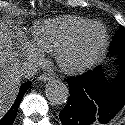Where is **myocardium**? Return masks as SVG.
<instances>
[{"label": "myocardium", "mask_w": 125, "mask_h": 125, "mask_svg": "<svg viewBox=\"0 0 125 125\" xmlns=\"http://www.w3.org/2000/svg\"><path fill=\"white\" fill-rule=\"evenodd\" d=\"M93 29L100 31V38L94 50L78 59L69 57L70 53L77 49L83 37ZM109 35L104 24L98 21H90L83 27L75 31L66 41H64L55 52V59L60 69L69 75L78 74L91 68L103 56L108 45Z\"/></svg>", "instance_id": "obj_1"}]
</instances>
